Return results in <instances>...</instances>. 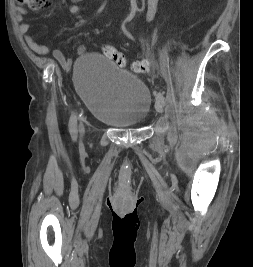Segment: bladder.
Wrapping results in <instances>:
<instances>
[{"instance_id": "obj_1", "label": "bladder", "mask_w": 253, "mask_h": 267, "mask_svg": "<svg viewBox=\"0 0 253 267\" xmlns=\"http://www.w3.org/2000/svg\"><path fill=\"white\" fill-rule=\"evenodd\" d=\"M76 89L91 115L114 127L145 123L152 107L148 87L108 57L85 53L74 64Z\"/></svg>"}]
</instances>
